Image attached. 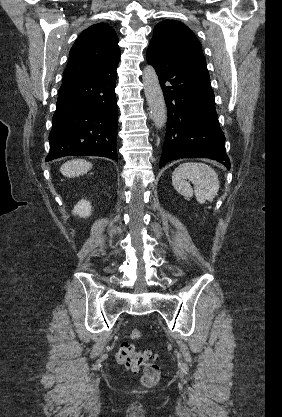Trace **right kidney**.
<instances>
[{
	"mask_svg": "<svg viewBox=\"0 0 282 417\" xmlns=\"http://www.w3.org/2000/svg\"><path fill=\"white\" fill-rule=\"evenodd\" d=\"M91 209V202L82 198V200H79V202L75 204L72 213L73 215H78V217H84L85 219V217H90Z\"/></svg>",
	"mask_w": 282,
	"mask_h": 417,
	"instance_id": "1",
	"label": "right kidney"
}]
</instances>
